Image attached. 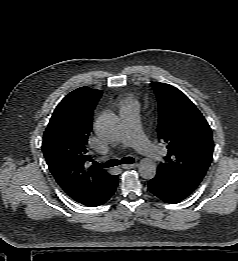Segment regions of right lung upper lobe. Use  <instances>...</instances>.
Here are the masks:
<instances>
[{"label": "right lung upper lobe", "instance_id": "cb5924a9", "mask_svg": "<svg viewBox=\"0 0 238 261\" xmlns=\"http://www.w3.org/2000/svg\"><path fill=\"white\" fill-rule=\"evenodd\" d=\"M101 90L80 87L56 107L43 135L42 151L48 168L64 192L78 203L98 194L112 175L90 166L88 137Z\"/></svg>", "mask_w": 238, "mask_h": 261}]
</instances>
